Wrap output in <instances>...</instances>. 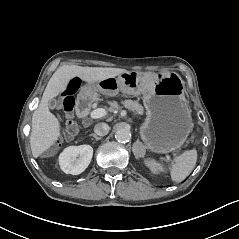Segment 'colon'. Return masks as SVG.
Segmentation results:
<instances>
[{"mask_svg": "<svg viewBox=\"0 0 239 239\" xmlns=\"http://www.w3.org/2000/svg\"><path fill=\"white\" fill-rule=\"evenodd\" d=\"M78 85H79V79H74L69 84V87L65 94V99L63 102L64 111L67 113V116H68V120H67L66 127H65L66 133L68 135H73L76 132V124L71 117V113L75 106V99H74L73 95H74Z\"/></svg>", "mask_w": 239, "mask_h": 239, "instance_id": "5ec220e1", "label": "colon"}]
</instances>
